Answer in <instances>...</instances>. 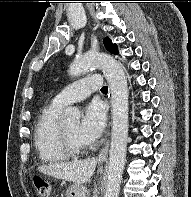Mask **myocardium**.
I'll return each mask as SVG.
<instances>
[{
    "label": "myocardium",
    "instance_id": "1",
    "mask_svg": "<svg viewBox=\"0 0 191 197\" xmlns=\"http://www.w3.org/2000/svg\"><path fill=\"white\" fill-rule=\"evenodd\" d=\"M61 137H62V142H63V145H64L66 151H67L71 156L79 155V154H81V153L83 152V150H84V145L75 142V141L68 135V133L65 131V129H64L63 127H61Z\"/></svg>",
    "mask_w": 191,
    "mask_h": 197
}]
</instances>
